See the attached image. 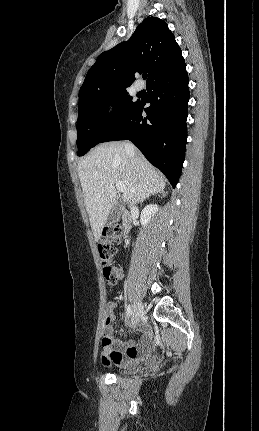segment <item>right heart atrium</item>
I'll return each mask as SVG.
<instances>
[{"instance_id":"1","label":"right heart atrium","mask_w":259,"mask_h":431,"mask_svg":"<svg viewBox=\"0 0 259 431\" xmlns=\"http://www.w3.org/2000/svg\"><path fill=\"white\" fill-rule=\"evenodd\" d=\"M118 110H119V106L116 102L108 101L106 103V113L109 119H113L117 115Z\"/></svg>"}]
</instances>
